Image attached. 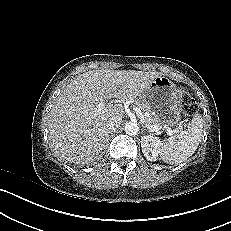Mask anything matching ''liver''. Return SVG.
Wrapping results in <instances>:
<instances>
[{"mask_svg": "<svg viewBox=\"0 0 231 231\" xmlns=\"http://www.w3.org/2000/svg\"><path fill=\"white\" fill-rule=\"evenodd\" d=\"M159 72L136 70H91L64 88L48 120V138L55 155L70 163L93 162L101 156L108 137L109 120H122L120 105L96 111V103L111 98H141Z\"/></svg>", "mask_w": 231, "mask_h": 231, "instance_id": "liver-1", "label": "liver"}]
</instances>
